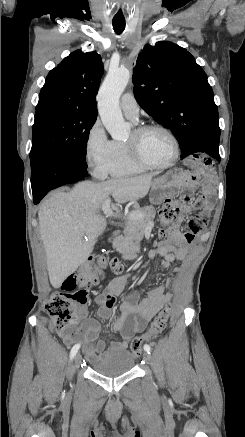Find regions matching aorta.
Segmentation results:
<instances>
[{
    "label": "aorta",
    "instance_id": "762f6f07",
    "mask_svg": "<svg viewBox=\"0 0 245 437\" xmlns=\"http://www.w3.org/2000/svg\"><path fill=\"white\" fill-rule=\"evenodd\" d=\"M129 79V70L110 69L98 92V110L101 120L115 140L128 136V126L119 108V98Z\"/></svg>",
    "mask_w": 245,
    "mask_h": 437
}]
</instances>
